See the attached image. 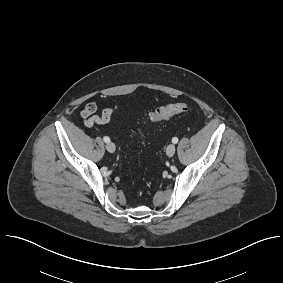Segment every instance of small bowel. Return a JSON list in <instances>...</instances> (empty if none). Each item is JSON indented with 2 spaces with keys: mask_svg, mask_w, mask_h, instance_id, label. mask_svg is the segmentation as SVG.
<instances>
[{
  "mask_svg": "<svg viewBox=\"0 0 283 283\" xmlns=\"http://www.w3.org/2000/svg\"><path fill=\"white\" fill-rule=\"evenodd\" d=\"M97 107L93 102H88L85 104L83 110L81 111V118L86 126H93L95 124H105L116 115V110L114 108H105L100 114L96 113Z\"/></svg>",
  "mask_w": 283,
  "mask_h": 283,
  "instance_id": "c3829d8e",
  "label": "small bowel"
}]
</instances>
